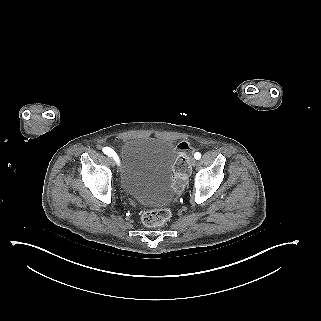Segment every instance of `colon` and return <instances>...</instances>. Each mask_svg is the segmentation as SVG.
<instances>
[{
	"instance_id": "5ec220e1",
	"label": "colon",
	"mask_w": 321,
	"mask_h": 321,
	"mask_svg": "<svg viewBox=\"0 0 321 321\" xmlns=\"http://www.w3.org/2000/svg\"><path fill=\"white\" fill-rule=\"evenodd\" d=\"M178 157L175 163V185L181 188L190 172L189 158L191 150L187 142H181L177 146ZM170 211L166 208L151 209L142 215V222L149 227H157L166 223L170 218Z\"/></svg>"
}]
</instances>
